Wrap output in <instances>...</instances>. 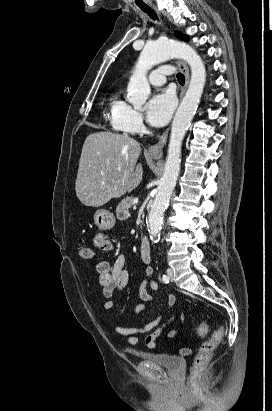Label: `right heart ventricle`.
Wrapping results in <instances>:
<instances>
[{
    "label": "right heart ventricle",
    "mask_w": 272,
    "mask_h": 411,
    "mask_svg": "<svg viewBox=\"0 0 272 411\" xmlns=\"http://www.w3.org/2000/svg\"><path fill=\"white\" fill-rule=\"evenodd\" d=\"M124 105L125 102L122 101L117 95H114L109 103L112 125L116 130L120 132H127L120 120V115Z\"/></svg>",
    "instance_id": "1"
}]
</instances>
